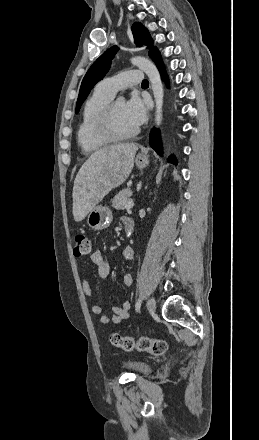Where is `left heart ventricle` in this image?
<instances>
[{"instance_id":"left-heart-ventricle-1","label":"left heart ventricle","mask_w":259,"mask_h":440,"mask_svg":"<svg viewBox=\"0 0 259 440\" xmlns=\"http://www.w3.org/2000/svg\"><path fill=\"white\" fill-rule=\"evenodd\" d=\"M114 124L115 128L120 133H128L136 129V127L130 122L125 112V103L122 101H116L114 105Z\"/></svg>"}]
</instances>
